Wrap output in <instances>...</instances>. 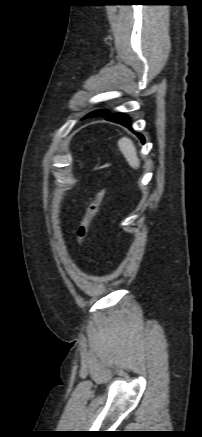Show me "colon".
Here are the masks:
<instances>
[{
	"instance_id": "5ec220e1",
	"label": "colon",
	"mask_w": 202,
	"mask_h": 437,
	"mask_svg": "<svg viewBox=\"0 0 202 437\" xmlns=\"http://www.w3.org/2000/svg\"><path fill=\"white\" fill-rule=\"evenodd\" d=\"M105 194H106V189L101 188L96 192L95 196L88 203L86 212L82 217L81 222L76 230V238L79 245H81L85 241L88 234L91 220L95 216L96 212L98 211L99 205L103 200V198L105 197Z\"/></svg>"
}]
</instances>
